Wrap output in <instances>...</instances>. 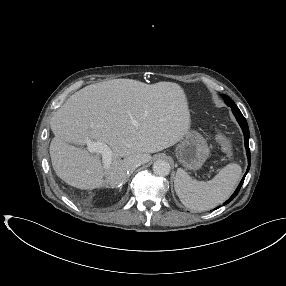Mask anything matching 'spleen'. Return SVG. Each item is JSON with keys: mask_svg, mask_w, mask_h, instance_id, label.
<instances>
[{"mask_svg": "<svg viewBox=\"0 0 286 286\" xmlns=\"http://www.w3.org/2000/svg\"><path fill=\"white\" fill-rule=\"evenodd\" d=\"M242 169L236 163L223 167L209 181L193 180L179 168L174 181L175 191L182 204L191 210L206 211L226 201L241 177Z\"/></svg>", "mask_w": 286, "mask_h": 286, "instance_id": "obj_1", "label": "spleen"}]
</instances>
